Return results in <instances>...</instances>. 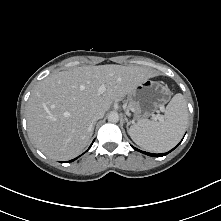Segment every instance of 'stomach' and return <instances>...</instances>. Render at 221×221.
Segmentation results:
<instances>
[{"instance_id":"1","label":"stomach","mask_w":221,"mask_h":221,"mask_svg":"<svg viewBox=\"0 0 221 221\" xmlns=\"http://www.w3.org/2000/svg\"><path fill=\"white\" fill-rule=\"evenodd\" d=\"M171 97L167 85L157 81L145 80L129 94V105L135 119H146L153 115Z\"/></svg>"}]
</instances>
